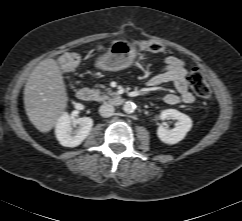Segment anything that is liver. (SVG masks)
Segmentation results:
<instances>
[{"label":"liver","instance_id":"obj_1","mask_svg":"<svg viewBox=\"0 0 242 221\" xmlns=\"http://www.w3.org/2000/svg\"><path fill=\"white\" fill-rule=\"evenodd\" d=\"M68 96L63 75L52 58L41 61L31 72L24 88V105L31 123L42 133L49 132L67 108Z\"/></svg>","mask_w":242,"mask_h":221}]
</instances>
